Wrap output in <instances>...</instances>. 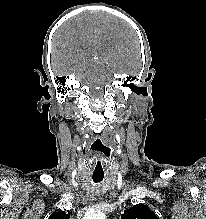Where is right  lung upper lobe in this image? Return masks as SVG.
<instances>
[{
    "mask_svg": "<svg viewBox=\"0 0 206 219\" xmlns=\"http://www.w3.org/2000/svg\"><path fill=\"white\" fill-rule=\"evenodd\" d=\"M69 215H70L69 212L68 214H66L65 211H58L52 213L49 219H69Z\"/></svg>",
    "mask_w": 206,
    "mask_h": 219,
    "instance_id": "cb5924a9",
    "label": "right lung upper lobe"
}]
</instances>
